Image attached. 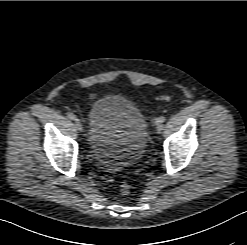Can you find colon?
<instances>
[{"label": "colon", "mask_w": 247, "mask_h": 245, "mask_svg": "<svg viewBox=\"0 0 247 245\" xmlns=\"http://www.w3.org/2000/svg\"><path fill=\"white\" fill-rule=\"evenodd\" d=\"M162 99L166 100L167 97L164 96V97H162ZM130 191H131V187H130V185L128 183L121 184L120 192H121L122 195H128L130 193Z\"/></svg>", "instance_id": "1"}]
</instances>
